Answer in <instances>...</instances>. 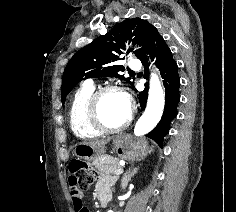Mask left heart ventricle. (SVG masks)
<instances>
[{"mask_svg": "<svg viewBox=\"0 0 236 212\" xmlns=\"http://www.w3.org/2000/svg\"><path fill=\"white\" fill-rule=\"evenodd\" d=\"M128 108V102L122 94L118 92L107 93L100 102L101 120L108 127H118L125 121Z\"/></svg>", "mask_w": 236, "mask_h": 212, "instance_id": "b2bd125f", "label": "left heart ventricle"}]
</instances>
